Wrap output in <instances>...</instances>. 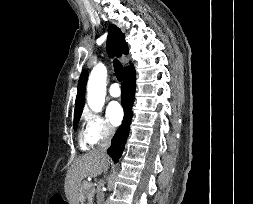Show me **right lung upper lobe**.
Returning a JSON list of instances; mask_svg holds the SVG:
<instances>
[{
  "mask_svg": "<svg viewBox=\"0 0 253 204\" xmlns=\"http://www.w3.org/2000/svg\"><path fill=\"white\" fill-rule=\"evenodd\" d=\"M108 32H109L107 38L108 54L111 55V53L114 52L118 57H120L122 54L127 55L128 47L124 41V34L120 31V29L115 25L111 24L108 28ZM131 67L132 65L130 67H125L124 73ZM87 78L88 72L87 70H83L78 81V93L76 97L74 117L82 113L85 100V88Z\"/></svg>",
  "mask_w": 253,
  "mask_h": 204,
  "instance_id": "obj_1",
  "label": "right lung upper lobe"
}]
</instances>
